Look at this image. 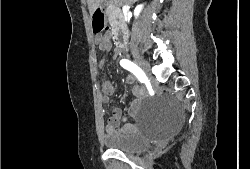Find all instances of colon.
Listing matches in <instances>:
<instances>
[{
  "label": "colon",
  "instance_id": "5ec220e1",
  "mask_svg": "<svg viewBox=\"0 0 250 169\" xmlns=\"http://www.w3.org/2000/svg\"><path fill=\"white\" fill-rule=\"evenodd\" d=\"M104 15L100 10H96L92 18V30L95 34H99L106 30Z\"/></svg>",
  "mask_w": 250,
  "mask_h": 169
}]
</instances>
